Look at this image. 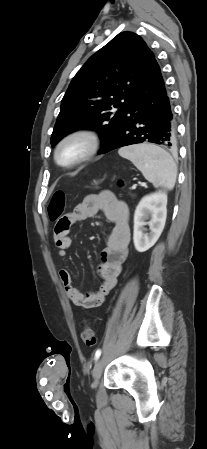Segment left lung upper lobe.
<instances>
[{
    "mask_svg": "<svg viewBox=\"0 0 207 449\" xmlns=\"http://www.w3.org/2000/svg\"><path fill=\"white\" fill-rule=\"evenodd\" d=\"M157 63L143 39L122 32L92 55L65 93L51 144L83 129L98 132L102 149L124 122L128 110ZM100 150V151H101Z\"/></svg>",
    "mask_w": 207,
    "mask_h": 449,
    "instance_id": "5c2ea615",
    "label": "left lung upper lobe"
}]
</instances>
